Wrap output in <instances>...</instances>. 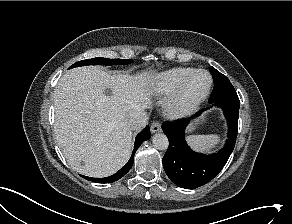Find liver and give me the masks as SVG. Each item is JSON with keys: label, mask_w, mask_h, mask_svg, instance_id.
I'll list each match as a JSON object with an SVG mask.
<instances>
[{"label": "liver", "mask_w": 292, "mask_h": 224, "mask_svg": "<svg viewBox=\"0 0 292 224\" xmlns=\"http://www.w3.org/2000/svg\"><path fill=\"white\" fill-rule=\"evenodd\" d=\"M150 72L153 70L136 76L110 75L86 66L60 78L54 90V132L74 170L86 176L107 177L128 161L133 131L128 119L143 109L142 126L147 121L144 110L151 104ZM107 89L111 96L105 94Z\"/></svg>", "instance_id": "liver-1"}]
</instances>
